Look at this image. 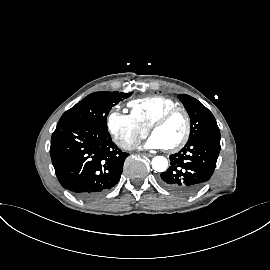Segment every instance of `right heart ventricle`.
Instances as JSON below:
<instances>
[{"label": "right heart ventricle", "instance_id": "e07e8e85", "mask_svg": "<svg viewBox=\"0 0 270 270\" xmlns=\"http://www.w3.org/2000/svg\"><path fill=\"white\" fill-rule=\"evenodd\" d=\"M175 106H178L176 101L164 96H149L129 102L131 114L148 129L162 113Z\"/></svg>", "mask_w": 270, "mask_h": 270}]
</instances>
